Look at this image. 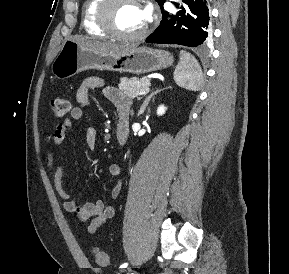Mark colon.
<instances>
[{
    "label": "colon",
    "instance_id": "colon-1",
    "mask_svg": "<svg viewBox=\"0 0 289 274\" xmlns=\"http://www.w3.org/2000/svg\"><path fill=\"white\" fill-rule=\"evenodd\" d=\"M50 108L56 117H64L70 110V102L66 98H54L50 101ZM93 256L98 265L106 266L109 263L107 253L100 248L93 249Z\"/></svg>",
    "mask_w": 289,
    "mask_h": 274
}]
</instances>
